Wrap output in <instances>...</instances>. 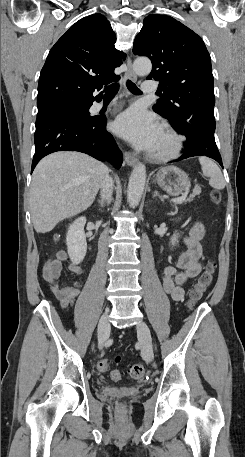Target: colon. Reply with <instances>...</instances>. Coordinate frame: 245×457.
<instances>
[{
	"label": "colon",
	"instance_id": "obj_1",
	"mask_svg": "<svg viewBox=\"0 0 245 457\" xmlns=\"http://www.w3.org/2000/svg\"><path fill=\"white\" fill-rule=\"evenodd\" d=\"M211 198L214 203H218L220 201V194L218 192H213L211 195ZM215 272V263L214 262H208L205 270L203 273L199 276L196 284L194 285L193 289L190 292V304H194L197 301H199L204 293L207 291V289L210 287L212 280H213V274ZM116 362L119 361V358L117 357L115 359ZM111 367V360L105 358L101 359L98 362V369L101 372H107L110 370ZM145 373V367L142 363H135L129 367L128 374L131 378L133 379H140L144 376ZM110 378L117 382L120 381L122 378V373L119 370H111L110 372Z\"/></svg>",
	"mask_w": 245,
	"mask_h": 457
}]
</instances>
